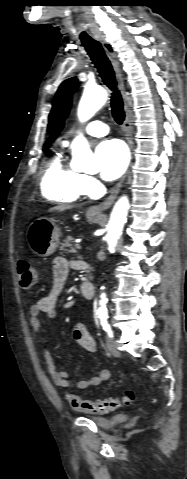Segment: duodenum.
<instances>
[{
    "label": "duodenum",
    "instance_id": "410a0bca",
    "mask_svg": "<svg viewBox=\"0 0 187 479\" xmlns=\"http://www.w3.org/2000/svg\"><path fill=\"white\" fill-rule=\"evenodd\" d=\"M80 292L85 299L90 300L94 297L95 286L90 280L86 279L80 284Z\"/></svg>",
    "mask_w": 187,
    "mask_h": 479
}]
</instances>
